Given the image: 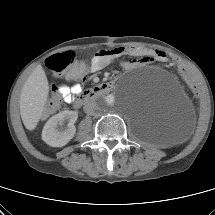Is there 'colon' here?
Listing matches in <instances>:
<instances>
[{
  "label": "colon",
  "instance_id": "obj_1",
  "mask_svg": "<svg viewBox=\"0 0 215 215\" xmlns=\"http://www.w3.org/2000/svg\"><path fill=\"white\" fill-rule=\"evenodd\" d=\"M167 55L173 59L174 65L177 67L178 73L183 76L185 80L190 85V93L195 95L198 92V87L196 80L192 77L190 73L187 72L184 65L179 59V55L174 53L172 50L167 52ZM46 66L52 72L56 74H62V79L66 83H71L80 77L87 70V65L83 61H76L74 52L67 51L60 54H55L48 57L45 61ZM54 94L49 100L46 106V112L52 113L59 108L61 100L59 96L55 93V88H53Z\"/></svg>",
  "mask_w": 215,
  "mask_h": 215
}]
</instances>
